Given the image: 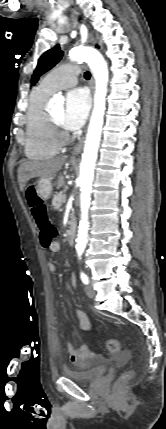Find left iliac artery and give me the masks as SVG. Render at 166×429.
I'll return each mask as SVG.
<instances>
[{"mask_svg":"<svg viewBox=\"0 0 166 429\" xmlns=\"http://www.w3.org/2000/svg\"><path fill=\"white\" fill-rule=\"evenodd\" d=\"M78 258L81 259L80 256ZM80 277H81V280L84 284H86V285L89 284V278L84 272H82V271L80 272Z\"/></svg>","mask_w":166,"mask_h":429,"instance_id":"left-iliac-artery-1","label":"left iliac artery"}]
</instances>
